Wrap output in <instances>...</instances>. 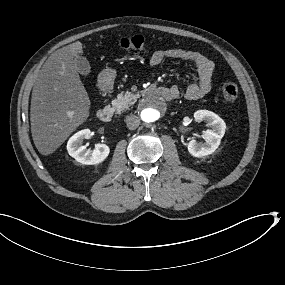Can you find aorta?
Returning <instances> with one entry per match:
<instances>
[{
    "label": "aorta",
    "mask_w": 285,
    "mask_h": 285,
    "mask_svg": "<svg viewBox=\"0 0 285 285\" xmlns=\"http://www.w3.org/2000/svg\"><path fill=\"white\" fill-rule=\"evenodd\" d=\"M138 114L141 120L146 124L156 125L162 122L166 117L167 107L164 101L159 97L149 96L143 99L139 104Z\"/></svg>",
    "instance_id": "1"
}]
</instances>
